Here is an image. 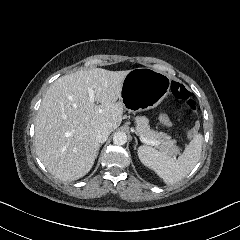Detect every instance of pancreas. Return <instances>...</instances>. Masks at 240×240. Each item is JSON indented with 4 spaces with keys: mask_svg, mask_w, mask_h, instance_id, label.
Here are the masks:
<instances>
[{
    "mask_svg": "<svg viewBox=\"0 0 240 240\" xmlns=\"http://www.w3.org/2000/svg\"><path fill=\"white\" fill-rule=\"evenodd\" d=\"M135 120L137 135H142L148 140L158 141L159 144L156 145V148L170 157L179 154L180 150L176 145V140L171 139V137L164 132H157L150 129L148 118L145 116H137Z\"/></svg>",
    "mask_w": 240,
    "mask_h": 240,
    "instance_id": "1",
    "label": "pancreas"
}]
</instances>
